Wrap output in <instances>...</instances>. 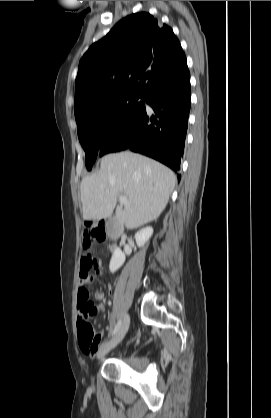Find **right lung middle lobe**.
<instances>
[{"mask_svg": "<svg viewBox=\"0 0 271 418\" xmlns=\"http://www.w3.org/2000/svg\"><path fill=\"white\" fill-rule=\"evenodd\" d=\"M142 98L141 101H138ZM145 96L138 93H123L76 115L78 138L86 152V167L92 168L106 137L129 119L144 104Z\"/></svg>", "mask_w": 271, "mask_h": 418, "instance_id": "right-lung-middle-lobe-1", "label": "right lung middle lobe"}]
</instances>
